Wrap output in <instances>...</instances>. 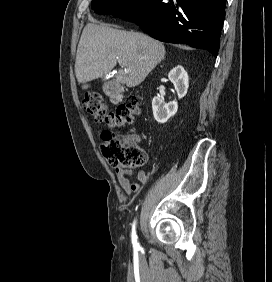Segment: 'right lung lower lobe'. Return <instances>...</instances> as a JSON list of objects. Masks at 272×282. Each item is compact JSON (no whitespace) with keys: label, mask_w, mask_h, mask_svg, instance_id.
<instances>
[{"label":"right lung lower lobe","mask_w":272,"mask_h":282,"mask_svg":"<svg viewBox=\"0 0 272 282\" xmlns=\"http://www.w3.org/2000/svg\"><path fill=\"white\" fill-rule=\"evenodd\" d=\"M226 0H139L112 15L134 22L151 37L186 43L217 57Z\"/></svg>","instance_id":"right-lung-lower-lobe-1"}]
</instances>
